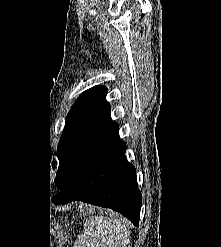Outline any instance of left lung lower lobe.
<instances>
[{
	"label": "left lung lower lobe",
	"mask_w": 221,
	"mask_h": 247,
	"mask_svg": "<svg viewBox=\"0 0 221 247\" xmlns=\"http://www.w3.org/2000/svg\"><path fill=\"white\" fill-rule=\"evenodd\" d=\"M125 150L118 124L111 125L92 145L77 176L53 201L81 200L111 208L139 226L141 193L136 169L127 161Z\"/></svg>",
	"instance_id": "left-lung-lower-lobe-1"
}]
</instances>
